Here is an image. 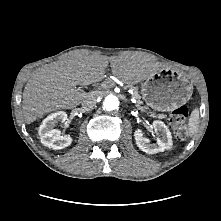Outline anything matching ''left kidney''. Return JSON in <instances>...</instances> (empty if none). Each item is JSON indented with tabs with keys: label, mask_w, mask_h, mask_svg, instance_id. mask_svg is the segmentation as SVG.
I'll return each mask as SVG.
<instances>
[{
	"label": "left kidney",
	"mask_w": 221,
	"mask_h": 221,
	"mask_svg": "<svg viewBox=\"0 0 221 221\" xmlns=\"http://www.w3.org/2000/svg\"><path fill=\"white\" fill-rule=\"evenodd\" d=\"M155 131H159L161 133L162 139H156V145L150 143L148 138L143 136L142 130L138 129L135 131L134 136L136 140L137 146L143 151L148 154H156L159 152H163L166 149H171L173 142H172V135L169 131L168 127L159 120H156L152 124Z\"/></svg>",
	"instance_id": "1"
}]
</instances>
